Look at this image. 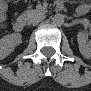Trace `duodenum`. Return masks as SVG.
<instances>
[{"instance_id": "duodenum-1", "label": "duodenum", "mask_w": 91, "mask_h": 91, "mask_svg": "<svg viewBox=\"0 0 91 91\" xmlns=\"http://www.w3.org/2000/svg\"><path fill=\"white\" fill-rule=\"evenodd\" d=\"M62 4L58 3L56 5V9L60 10L62 9ZM12 28L16 32H21L25 28V21L23 19H17L13 22Z\"/></svg>"}]
</instances>
